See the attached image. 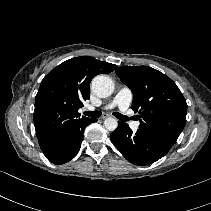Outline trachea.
<instances>
[{
    "label": "trachea",
    "mask_w": 211,
    "mask_h": 211,
    "mask_svg": "<svg viewBox=\"0 0 211 211\" xmlns=\"http://www.w3.org/2000/svg\"><path fill=\"white\" fill-rule=\"evenodd\" d=\"M84 115L91 117V118H99L101 116V112L100 111H87V112H84ZM113 115L122 121L127 120L126 116H124L118 112H114Z\"/></svg>",
    "instance_id": "trachea-1"
}]
</instances>
